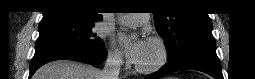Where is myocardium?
I'll use <instances>...</instances> for the list:
<instances>
[{"instance_id":"obj_1","label":"myocardium","mask_w":255,"mask_h":79,"mask_svg":"<svg viewBox=\"0 0 255 79\" xmlns=\"http://www.w3.org/2000/svg\"><path fill=\"white\" fill-rule=\"evenodd\" d=\"M148 42L152 43V44H155L158 47V49H159V58H158L157 62L154 65L149 66V67H142V66H139V65L136 64L135 65V70L138 73L148 74V73L157 72L166 65V63L168 62V59H169L168 47L162 39H160L158 37H150L148 39Z\"/></svg>"}]
</instances>
